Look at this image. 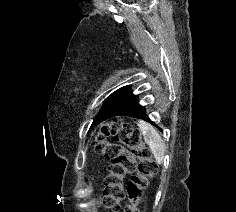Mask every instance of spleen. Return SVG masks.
I'll use <instances>...</instances> for the list:
<instances>
[{"mask_svg": "<svg viewBox=\"0 0 236 212\" xmlns=\"http://www.w3.org/2000/svg\"><path fill=\"white\" fill-rule=\"evenodd\" d=\"M137 125L144 137L145 142L150 147L157 163L161 164L163 162L165 152L161 136L152 125L145 121L139 120Z\"/></svg>", "mask_w": 236, "mask_h": 212, "instance_id": "obj_1", "label": "spleen"}]
</instances>
